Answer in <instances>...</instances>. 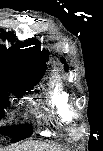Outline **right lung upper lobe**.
I'll return each mask as SVG.
<instances>
[{
  "label": "right lung upper lobe",
  "instance_id": "obj_1",
  "mask_svg": "<svg viewBox=\"0 0 103 151\" xmlns=\"http://www.w3.org/2000/svg\"><path fill=\"white\" fill-rule=\"evenodd\" d=\"M1 38L11 42L16 40L10 32L2 33ZM31 45L35 46L28 47ZM39 47L36 39L17 43L8 49L0 46V79L6 81L10 87L19 88L29 81L41 78L49 52H41Z\"/></svg>",
  "mask_w": 103,
  "mask_h": 151
}]
</instances>
